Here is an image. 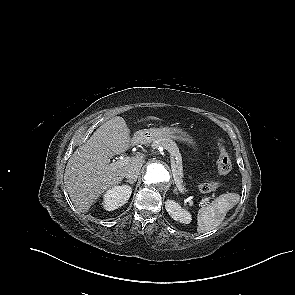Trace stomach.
<instances>
[{"label":"stomach","instance_id":"1","mask_svg":"<svg viewBox=\"0 0 295 295\" xmlns=\"http://www.w3.org/2000/svg\"><path fill=\"white\" fill-rule=\"evenodd\" d=\"M141 143H151L162 139H173L195 147L192 136L180 127H161L140 130L137 133Z\"/></svg>","mask_w":295,"mask_h":295}]
</instances>
